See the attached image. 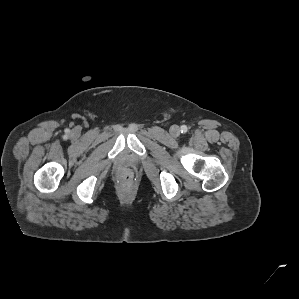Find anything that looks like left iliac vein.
Segmentation results:
<instances>
[{
  "mask_svg": "<svg viewBox=\"0 0 299 299\" xmlns=\"http://www.w3.org/2000/svg\"><path fill=\"white\" fill-rule=\"evenodd\" d=\"M170 132L173 136H178L180 134V128L174 125L171 127Z\"/></svg>",
  "mask_w": 299,
  "mask_h": 299,
  "instance_id": "obj_1",
  "label": "left iliac vein"
}]
</instances>
